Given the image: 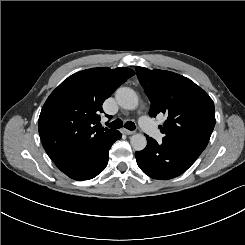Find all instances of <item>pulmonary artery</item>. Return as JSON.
Wrapping results in <instances>:
<instances>
[{
  "mask_svg": "<svg viewBox=\"0 0 245 245\" xmlns=\"http://www.w3.org/2000/svg\"><path fill=\"white\" fill-rule=\"evenodd\" d=\"M138 127L143 131V134L154 143H159L164 138L163 131L154 124V120L150 116H142L138 120Z\"/></svg>",
  "mask_w": 245,
  "mask_h": 245,
  "instance_id": "obj_1",
  "label": "pulmonary artery"
}]
</instances>
